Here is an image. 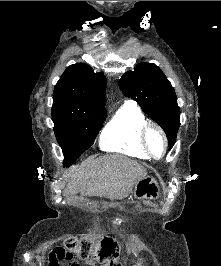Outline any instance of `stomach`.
Listing matches in <instances>:
<instances>
[{"label":"stomach","instance_id":"0dacf381","mask_svg":"<svg viewBox=\"0 0 221 266\" xmlns=\"http://www.w3.org/2000/svg\"><path fill=\"white\" fill-rule=\"evenodd\" d=\"M133 194L138 200H155L159 197L160 186L153 177L146 175L136 182Z\"/></svg>","mask_w":221,"mask_h":266}]
</instances>
